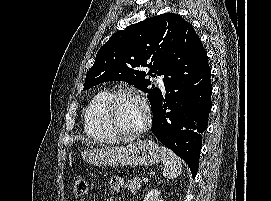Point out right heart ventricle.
I'll return each instance as SVG.
<instances>
[{
  "instance_id": "e07e8e85",
  "label": "right heart ventricle",
  "mask_w": 271,
  "mask_h": 201,
  "mask_svg": "<svg viewBox=\"0 0 271 201\" xmlns=\"http://www.w3.org/2000/svg\"><path fill=\"white\" fill-rule=\"evenodd\" d=\"M110 95L109 90H101L87 105L84 111V129L89 137L110 140L118 136L107 124L103 114L104 105Z\"/></svg>"
}]
</instances>
